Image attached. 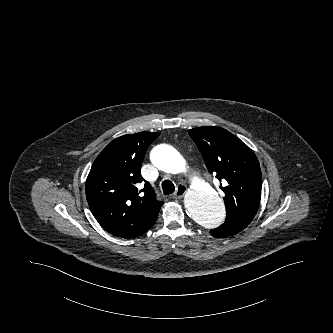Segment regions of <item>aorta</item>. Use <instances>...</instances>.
<instances>
[{"label":"aorta","mask_w":333,"mask_h":333,"mask_svg":"<svg viewBox=\"0 0 333 333\" xmlns=\"http://www.w3.org/2000/svg\"><path fill=\"white\" fill-rule=\"evenodd\" d=\"M152 164L167 173H179L185 169V160L170 145L161 144L151 152ZM187 214L202 228L214 229L225 219V208L217 192L206 182L194 178L193 186L184 196Z\"/></svg>","instance_id":"1"}]
</instances>
